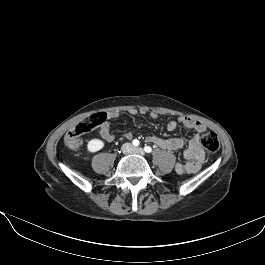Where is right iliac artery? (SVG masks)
Instances as JSON below:
<instances>
[{
	"label": "right iliac artery",
	"mask_w": 265,
	"mask_h": 265,
	"mask_svg": "<svg viewBox=\"0 0 265 265\" xmlns=\"http://www.w3.org/2000/svg\"><path fill=\"white\" fill-rule=\"evenodd\" d=\"M132 143H133L134 146H138L140 144L139 140H137V139H134L132 141Z\"/></svg>",
	"instance_id": "obj_1"
}]
</instances>
